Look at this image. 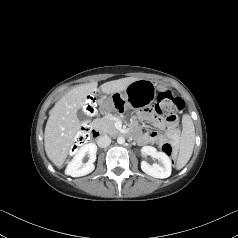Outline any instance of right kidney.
<instances>
[{"label":"right kidney","mask_w":238,"mask_h":238,"mask_svg":"<svg viewBox=\"0 0 238 238\" xmlns=\"http://www.w3.org/2000/svg\"><path fill=\"white\" fill-rule=\"evenodd\" d=\"M96 152L97 146L94 143L83 145L67 166L66 174L71 175L72 177H80L91 173L95 168L94 162L96 160ZM85 155H88L89 157L87 163L82 162Z\"/></svg>","instance_id":"obj_1"}]
</instances>
